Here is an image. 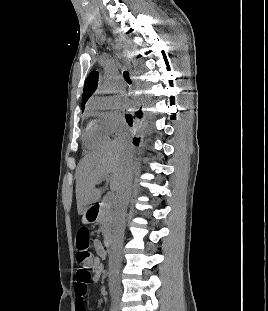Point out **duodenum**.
<instances>
[{
    "instance_id": "1",
    "label": "duodenum",
    "mask_w": 268,
    "mask_h": 311,
    "mask_svg": "<svg viewBox=\"0 0 268 311\" xmlns=\"http://www.w3.org/2000/svg\"><path fill=\"white\" fill-rule=\"evenodd\" d=\"M99 204H95L93 205L90 210H89V216L90 217H96L98 211H99ZM105 247L107 249L108 252H111L113 250L114 247V240L110 237L105 241Z\"/></svg>"
}]
</instances>
